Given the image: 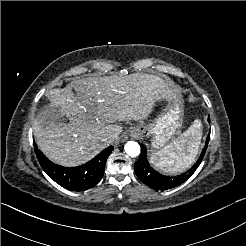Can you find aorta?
<instances>
[{
    "label": "aorta",
    "mask_w": 246,
    "mask_h": 246,
    "mask_svg": "<svg viewBox=\"0 0 246 246\" xmlns=\"http://www.w3.org/2000/svg\"><path fill=\"white\" fill-rule=\"evenodd\" d=\"M124 150L130 157H136L140 154V146L135 141H129L125 144Z\"/></svg>",
    "instance_id": "1"
}]
</instances>
